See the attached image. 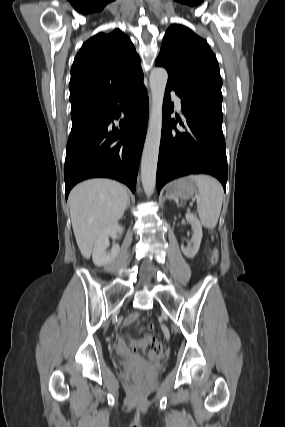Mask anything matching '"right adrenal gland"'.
Returning <instances> with one entry per match:
<instances>
[{
    "mask_svg": "<svg viewBox=\"0 0 285 427\" xmlns=\"http://www.w3.org/2000/svg\"><path fill=\"white\" fill-rule=\"evenodd\" d=\"M130 207V197L128 198L127 208Z\"/></svg>",
    "mask_w": 285,
    "mask_h": 427,
    "instance_id": "obj_1",
    "label": "right adrenal gland"
}]
</instances>
